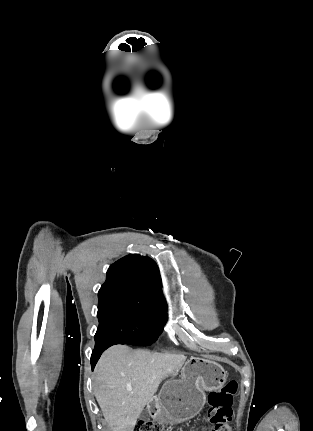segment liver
<instances>
[{"instance_id": "6515ba94", "label": "liver", "mask_w": 313, "mask_h": 431, "mask_svg": "<svg viewBox=\"0 0 313 431\" xmlns=\"http://www.w3.org/2000/svg\"><path fill=\"white\" fill-rule=\"evenodd\" d=\"M186 361L182 354L153 353L115 345L106 350L94 370V394L112 431H133L144 407L160 383ZM131 386L132 391L127 387Z\"/></svg>"}]
</instances>
